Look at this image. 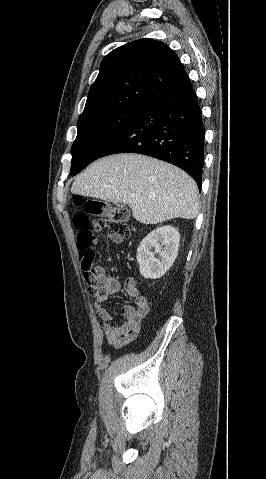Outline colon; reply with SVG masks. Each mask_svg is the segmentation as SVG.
Segmentation results:
<instances>
[{"mask_svg":"<svg viewBox=\"0 0 266 479\" xmlns=\"http://www.w3.org/2000/svg\"><path fill=\"white\" fill-rule=\"evenodd\" d=\"M74 204L82 210L73 215V226L77 233V248L80 255V267L83 277L89 287L90 294H98L97 281L93 274L95 251L91 246L93 228L96 231L107 230L111 234L127 239L128 212L126 209L111 205L99 199L74 197Z\"/></svg>","mask_w":266,"mask_h":479,"instance_id":"5ec220e1","label":"colon"}]
</instances>
